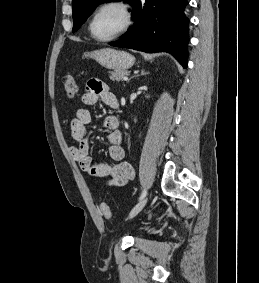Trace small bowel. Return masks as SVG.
Returning a JSON list of instances; mask_svg holds the SVG:
<instances>
[{
  "label": "small bowel",
  "instance_id": "small-bowel-1",
  "mask_svg": "<svg viewBox=\"0 0 259 283\" xmlns=\"http://www.w3.org/2000/svg\"><path fill=\"white\" fill-rule=\"evenodd\" d=\"M82 103L86 106L95 105L99 100L111 108H118L116 96L109 91L107 86L99 80H90L83 94ZM91 112L84 107L78 108L75 117L70 123L71 136L76 142L69 148V153L79 167L95 179H107L110 184L116 186L126 185L134 178V169L130 162L126 161V152L122 147V132L120 122L116 116L106 117L102 124L108 130V153L113 165L96 161L90 155V141L87 125L91 122Z\"/></svg>",
  "mask_w": 259,
  "mask_h": 283
}]
</instances>
